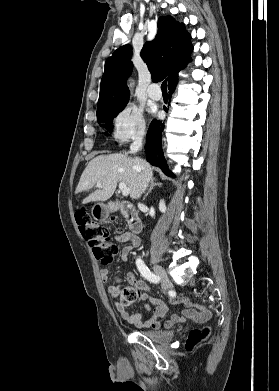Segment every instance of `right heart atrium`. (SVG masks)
<instances>
[{"mask_svg": "<svg viewBox=\"0 0 279 391\" xmlns=\"http://www.w3.org/2000/svg\"><path fill=\"white\" fill-rule=\"evenodd\" d=\"M145 131L143 112L137 106L126 105L118 110L112 122L113 137L120 143L139 138Z\"/></svg>", "mask_w": 279, "mask_h": 391, "instance_id": "obj_1", "label": "right heart atrium"}]
</instances>
